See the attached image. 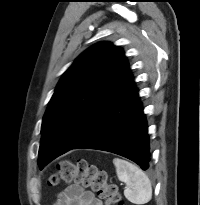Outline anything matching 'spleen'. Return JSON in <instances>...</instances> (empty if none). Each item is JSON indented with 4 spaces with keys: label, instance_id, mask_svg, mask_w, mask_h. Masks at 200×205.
Returning <instances> with one entry per match:
<instances>
[{
    "label": "spleen",
    "instance_id": "spleen-1",
    "mask_svg": "<svg viewBox=\"0 0 200 205\" xmlns=\"http://www.w3.org/2000/svg\"><path fill=\"white\" fill-rule=\"evenodd\" d=\"M116 174L120 181L126 183L125 197L133 204H146L152 198L151 182L147 175L136 165L114 158Z\"/></svg>",
    "mask_w": 200,
    "mask_h": 205
}]
</instances>
